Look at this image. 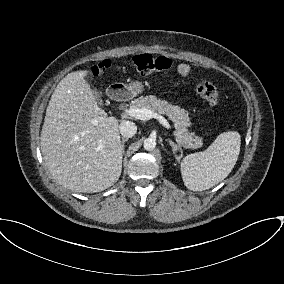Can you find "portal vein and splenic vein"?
<instances>
[{
	"mask_svg": "<svg viewBox=\"0 0 284 284\" xmlns=\"http://www.w3.org/2000/svg\"><path fill=\"white\" fill-rule=\"evenodd\" d=\"M124 113L139 120H149L155 118L163 127H165L166 129H171L170 124L163 116L149 109L130 107L129 109H125Z\"/></svg>",
	"mask_w": 284,
	"mask_h": 284,
	"instance_id": "1",
	"label": "portal vein and splenic vein"
}]
</instances>
